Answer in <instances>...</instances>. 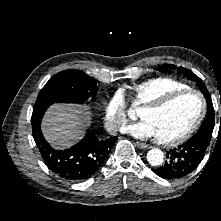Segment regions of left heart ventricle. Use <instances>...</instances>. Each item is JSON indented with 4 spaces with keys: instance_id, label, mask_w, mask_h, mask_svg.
I'll list each match as a JSON object with an SVG mask.
<instances>
[{
    "instance_id": "obj_1",
    "label": "left heart ventricle",
    "mask_w": 221,
    "mask_h": 221,
    "mask_svg": "<svg viewBox=\"0 0 221 221\" xmlns=\"http://www.w3.org/2000/svg\"><path fill=\"white\" fill-rule=\"evenodd\" d=\"M200 101L194 94L178 97L159 111L140 110L139 117L148 121L159 139H171L183 133L196 119Z\"/></svg>"
}]
</instances>
